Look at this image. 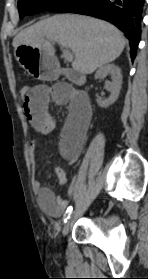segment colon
I'll list each match as a JSON object with an SVG mask.
<instances>
[{
  "label": "colon",
  "mask_w": 148,
  "mask_h": 279,
  "mask_svg": "<svg viewBox=\"0 0 148 279\" xmlns=\"http://www.w3.org/2000/svg\"><path fill=\"white\" fill-rule=\"evenodd\" d=\"M30 93H31V88L28 87V86H23V87L20 89V95H21L23 101L29 99Z\"/></svg>",
  "instance_id": "colon-1"
}]
</instances>
